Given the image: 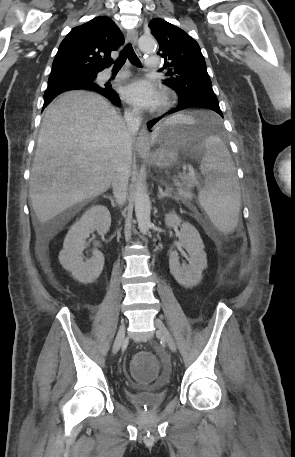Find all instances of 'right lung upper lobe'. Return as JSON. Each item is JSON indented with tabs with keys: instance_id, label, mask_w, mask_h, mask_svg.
<instances>
[{
	"instance_id": "obj_1",
	"label": "right lung upper lobe",
	"mask_w": 295,
	"mask_h": 457,
	"mask_svg": "<svg viewBox=\"0 0 295 457\" xmlns=\"http://www.w3.org/2000/svg\"><path fill=\"white\" fill-rule=\"evenodd\" d=\"M123 43V34L108 17L99 16L73 28L59 46L48 82L97 76L112 64L110 53Z\"/></svg>"
}]
</instances>
